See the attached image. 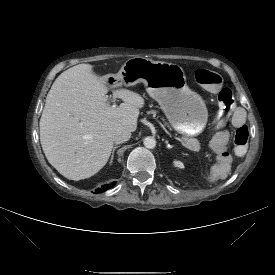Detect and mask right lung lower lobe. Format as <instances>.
<instances>
[{
    "label": "right lung lower lobe",
    "mask_w": 275,
    "mask_h": 275,
    "mask_svg": "<svg viewBox=\"0 0 275 275\" xmlns=\"http://www.w3.org/2000/svg\"><path fill=\"white\" fill-rule=\"evenodd\" d=\"M115 184H116V182H113L109 185H103L100 189H96V191L94 193H102V192L112 188Z\"/></svg>",
    "instance_id": "98d812e1"
}]
</instances>
